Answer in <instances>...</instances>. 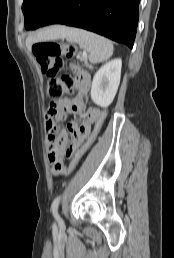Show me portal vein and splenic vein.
I'll use <instances>...</instances> for the list:
<instances>
[{
	"mask_svg": "<svg viewBox=\"0 0 174 258\" xmlns=\"http://www.w3.org/2000/svg\"><path fill=\"white\" fill-rule=\"evenodd\" d=\"M83 57H84V58L86 57V53H85V52H83Z\"/></svg>",
	"mask_w": 174,
	"mask_h": 258,
	"instance_id": "obj_1",
	"label": "portal vein and splenic vein"
}]
</instances>
